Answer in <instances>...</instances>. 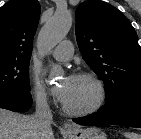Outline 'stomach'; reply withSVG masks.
<instances>
[{
  "label": "stomach",
  "mask_w": 141,
  "mask_h": 139,
  "mask_svg": "<svg viewBox=\"0 0 141 139\" xmlns=\"http://www.w3.org/2000/svg\"><path fill=\"white\" fill-rule=\"evenodd\" d=\"M69 139H107L106 134L99 128L89 127L68 132Z\"/></svg>",
  "instance_id": "0dacf381"
}]
</instances>
